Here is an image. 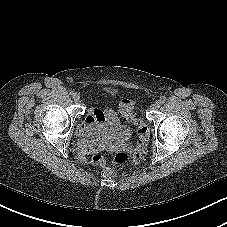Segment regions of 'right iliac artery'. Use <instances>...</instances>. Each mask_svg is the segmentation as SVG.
<instances>
[{"mask_svg": "<svg viewBox=\"0 0 227 227\" xmlns=\"http://www.w3.org/2000/svg\"><path fill=\"white\" fill-rule=\"evenodd\" d=\"M69 94H70L71 96H73L75 93H74V91H70Z\"/></svg>", "mask_w": 227, "mask_h": 227, "instance_id": "82829eb1", "label": "right iliac artery"}]
</instances>
